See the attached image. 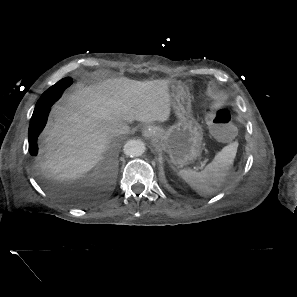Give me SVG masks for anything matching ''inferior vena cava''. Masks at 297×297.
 Here are the masks:
<instances>
[{
    "instance_id": "obj_1",
    "label": "inferior vena cava",
    "mask_w": 297,
    "mask_h": 297,
    "mask_svg": "<svg viewBox=\"0 0 297 297\" xmlns=\"http://www.w3.org/2000/svg\"><path fill=\"white\" fill-rule=\"evenodd\" d=\"M130 131V127L125 122H118L113 125L112 132L114 134H127Z\"/></svg>"
}]
</instances>
